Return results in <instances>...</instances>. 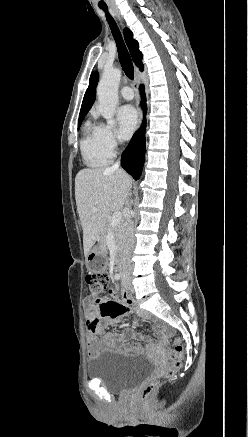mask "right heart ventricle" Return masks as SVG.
I'll use <instances>...</instances> for the list:
<instances>
[{"mask_svg": "<svg viewBox=\"0 0 248 437\" xmlns=\"http://www.w3.org/2000/svg\"><path fill=\"white\" fill-rule=\"evenodd\" d=\"M80 149L84 162L92 168L107 165L111 157L103 148L100 140L99 126L87 121L83 127Z\"/></svg>", "mask_w": 248, "mask_h": 437, "instance_id": "right-heart-ventricle-1", "label": "right heart ventricle"}]
</instances>
